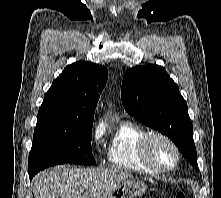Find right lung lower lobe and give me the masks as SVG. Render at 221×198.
Here are the masks:
<instances>
[{"label": "right lung lower lobe", "mask_w": 221, "mask_h": 198, "mask_svg": "<svg viewBox=\"0 0 221 198\" xmlns=\"http://www.w3.org/2000/svg\"><path fill=\"white\" fill-rule=\"evenodd\" d=\"M30 177V180L33 178V176H29Z\"/></svg>", "instance_id": "1"}]
</instances>
